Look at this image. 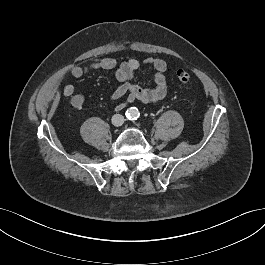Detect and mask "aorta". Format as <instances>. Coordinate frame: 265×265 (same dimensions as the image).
<instances>
[{"label":"aorta","mask_w":265,"mask_h":265,"mask_svg":"<svg viewBox=\"0 0 265 265\" xmlns=\"http://www.w3.org/2000/svg\"><path fill=\"white\" fill-rule=\"evenodd\" d=\"M128 112H129V114H130L131 116H136V115H137V111H136V109H134V108H130Z\"/></svg>","instance_id":"aorta-1"}]
</instances>
